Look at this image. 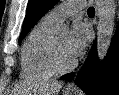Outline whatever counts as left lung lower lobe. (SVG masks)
I'll use <instances>...</instances> for the list:
<instances>
[{"label": "left lung lower lobe", "instance_id": "0a47b994", "mask_svg": "<svg viewBox=\"0 0 119 95\" xmlns=\"http://www.w3.org/2000/svg\"><path fill=\"white\" fill-rule=\"evenodd\" d=\"M73 77L74 73H69L61 79L72 80ZM75 83L87 95H119V30L102 62L98 60L94 42Z\"/></svg>", "mask_w": 119, "mask_h": 95}]
</instances>
